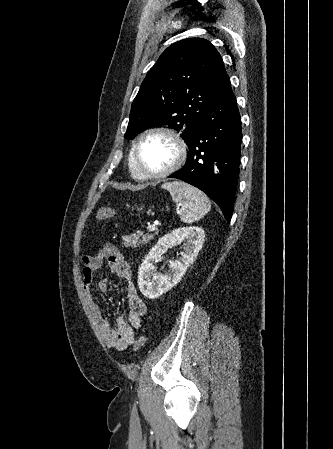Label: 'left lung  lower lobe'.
<instances>
[{
    "instance_id": "1",
    "label": "left lung lower lobe",
    "mask_w": 333,
    "mask_h": 449,
    "mask_svg": "<svg viewBox=\"0 0 333 449\" xmlns=\"http://www.w3.org/2000/svg\"><path fill=\"white\" fill-rule=\"evenodd\" d=\"M241 118L230 80L207 107L184 167L170 175L205 192L230 222L239 175Z\"/></svg>"
}]
</instances>
